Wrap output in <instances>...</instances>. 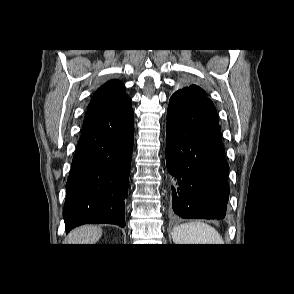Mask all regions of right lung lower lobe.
Listing matches in <instances>:
<instances>
[{"label":"right lung lower lobe","instance_id":"1","mask_svg":"<svg viewBox=\"0 0 294 294\" xmlns=\"http://www.w3.org/2000/svg\"><path fill=\"white\" fill-rule=\"evenodd\" d=\"M133 138L130 98L87 111L66 184V232L87 223L125 226Z\"/></svg>","mask_w":294,"mask_h":294}]
</instances>
